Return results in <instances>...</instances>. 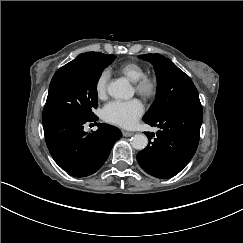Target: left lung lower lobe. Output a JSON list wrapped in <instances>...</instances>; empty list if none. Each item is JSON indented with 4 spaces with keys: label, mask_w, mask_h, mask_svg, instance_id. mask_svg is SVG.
Returning <instances> with one entry per match:
<instances>
[{
    "label": "left lung lower lobe",
    "mask_w": 243,
    "mask_h": 243,
    "mask_svg": "<svg viewBox=\"0 0 243 243\" xmlns=\"http://www.w3.org/2000/svg\"><path fill=\"white\" fill-rule=\"evenodd\" d=\"M203 120L201 105L182 104L171 108L157 120L147 123L160 128L137 160L148 174L167 179L178 174L196 152ZM154 136V134H153Z\"/></svg>",
    "instance_id": "0a47b994"
}]
</instances>
